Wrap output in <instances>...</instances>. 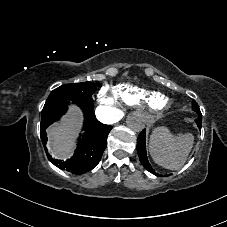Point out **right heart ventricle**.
Instances as JSON below:
<instances>
[{"instance_id":"e07e8e85","label":"right heart ventricle","mask_w":227,"mask_h":227,"mask_svg":"<svg viewBox=\"0 0 227 227\" xmlns=\"http://www.w3.org/2000/svg\"><path fill=\"white\" fill-rule=\"evenodd\" d=\"M115 102L125 107H134L157 111L162 108L167 97L160 92L145 90L129 84L112 88Z\"/></svg>"}]
</instances>
